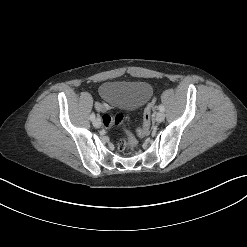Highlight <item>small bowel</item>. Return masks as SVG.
Wrapping results in <instances>:
<instances>
[{"label":"small bowel","mask_w":247,"mask_h":247,"mask_svg":"<svg viewBox=\"0 0 247 247\" xmlns=\"http://www.w3.org/2000/svg\"><path fill=\"white\" fill-rule=\"evenodd\" d=\"M96 108H97V110H99V111H104V110L106 109V107H105L103 104H100V103H98V104L96 105Z\"/></svg>","instance_id":"small-bowel-1"}]
</instances>
